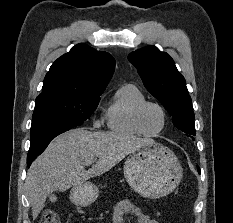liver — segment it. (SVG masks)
Returning <instances> with one entry per match:
<instances>
[{
    "label": "liver",
    "mask_w": 233,
    "mask_h": 223,
    "mask_svg": "<svg viewBox=\"0 0 233 223\" xmlns=\"http://www.w3.org/2000/svg\"><path fill=\"white\" fill-rule=\"evenodd\" d=\"M146 141L153 139L115 131H88L87 127L70 129L55 137L27 171L26 191L33 219L43 209L49 193L66 191L90 177L103 175ZM90 163L94 165L85 169Z\"/></svg>",
    "instance_id": "liver-1"
}]
</instances>
